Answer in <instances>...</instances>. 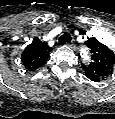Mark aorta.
<instances>
[{
  "mask_svg": "<svg viewBox=\"0 0 115 119\" xmlns=\"http://www.w3.org/2000/svg\"><path fill=\"white\" fill-rule=\"evenodd\" d=\"M82 58H83L84 60H89L90 56H89V52H88V49H87V48H84V49L82 50Z\"/></svg>",
  "mask_w": 115,
  "mask_h": 119,
  "instance_id": "1",
  "label": "aorta"
}]
</instances>
